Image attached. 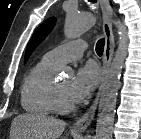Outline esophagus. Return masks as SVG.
<instances>
[{"label":"esophagus","instance_id":"obj_1","mask_svg":"<svg viewBox=\"0 0 141 139\" xmlns=\"http://www.w3.org/2000/svg\"><path fill=\"white\" fill-rule=\"evenodd\" d=\"M102 14H103V32L105 36V46H104V56H103V65H102V79L101 85L99 87L96 98L94 99L90 108L73 124V129L76 131L84 132L92 123L95 112L98 106L100 95L107 79L109 69L111 66L115 41L112 30V8L109 3V0H99Z\"/></svg>","mask_w":141,"mask_h":139}]
</instances>
